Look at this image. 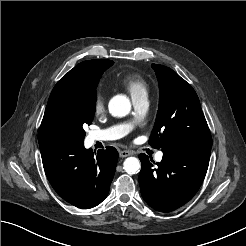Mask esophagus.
Instances as JSON below:
<instances>
[{"mask_svg":"<svg viewBox=\"0 0 246 246\" xmlns=\"http://www.w3.org/2000/svg\"><path fill=\"white\" fill-rule=\"evenodd\" d=\"M130 155H132V152L128 150H122L119 152V156L122 158L128 157Z\"/></svg>","mask_w":246,"mask_h":246,"instance_id":"1","label":"esophagus"}]
</instances>
